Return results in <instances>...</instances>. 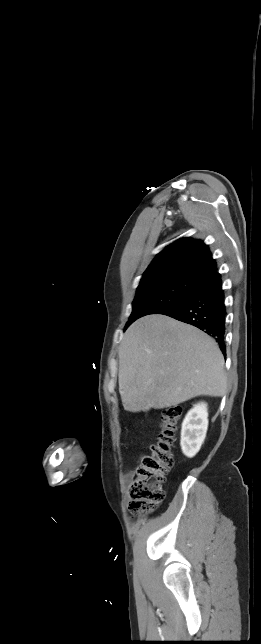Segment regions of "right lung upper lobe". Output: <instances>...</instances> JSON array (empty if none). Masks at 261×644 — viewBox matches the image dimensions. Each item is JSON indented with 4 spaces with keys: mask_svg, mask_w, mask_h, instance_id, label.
<instances>
[{
    "mask_svg": "<svg viewBox=\"0 0 261 644\" xmlns=\"http://www.w3.org/2000/svg\"><path fill=\"white\" fill-rule=\"evenodd\" d=\"M217 271L215 260L201 240L179 239L161 251L144 272L140 285L182 278L200 282Z\"/></svg>",
    "mask_w": 261,
    "mask_h": 644,
    "instance_id": "obj_1",
    "label": "right lung upper lobe"
}]
</instances>
